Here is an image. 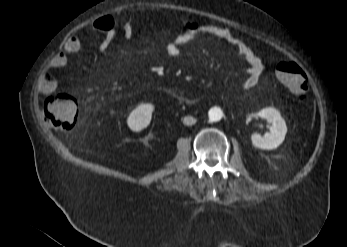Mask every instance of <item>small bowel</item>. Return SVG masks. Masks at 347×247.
<instances>
[{
	"mask_svg": "<svg viewBox=\"0 0 347 247\" xmlns=\"http://www.w3.org/2000/svg\"><path fill=\"white\" fill-rule=\"evenodd\" d=\"M184 29L165 47L166 55L173 59L180 55L182 49L189 43L197 40L214 38L226 42L234 47L237 56L248 65V76L242 83L243 89L254 88L259 80V75L264 68L262 59L255 54L253 49L235 31L230 28L203 24L193 20L183 21ZM93 29L105 33L104 38L98 46L100 53H104L116 36L117 29L114 20L110 16L100 17L93 21ZM133 25H124L122 33L125 40H129L133 35ZM81 50V41L77 36L69 37L63 45L60 53L53 56L49 61V70L42 73L37 80V87L42 94L51 95L57 89V80L51 74L52 70L64 68L70 56L76 55Z\"/></svg>",
	"mask_w": 347,
	"mask_h": 247,
	"instance_id": "small-bowel-1",
	"label": "small bowel"
}]
</instances>
